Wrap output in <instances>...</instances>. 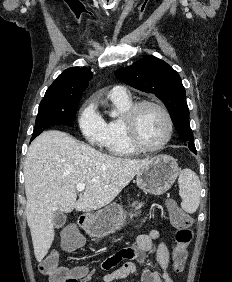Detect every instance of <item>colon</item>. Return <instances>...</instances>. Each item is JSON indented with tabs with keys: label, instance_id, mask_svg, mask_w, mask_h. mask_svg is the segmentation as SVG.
Returning <instances> with one entry per match:
<instances>
[{
	"label": "colon",
	"instance_id": "colon-1",
	"mask_svg": "<svg viewBox=\"0 0 232 282\" xmlns=\"http://www.w3.org/2000/svg\"><path fill=\"white\" fill-rule=\"evenodd\" d=\"M169 218L175 229V246L173 249V266L175 271L181 272L184 269L188 255V247L193 240L191 229L192 220L183 212L175 200L167 202ZM83 244L82 238L72 229H65L61 234V246L65 251L72 252L79 249ZM75 274L58 264L56 255H48L40 264V271L49 276L51 282H79L82 267L74 268Z\"/></svg>",
	"mask_w": 232,
	"mask_h": 282
}]
</instances>
